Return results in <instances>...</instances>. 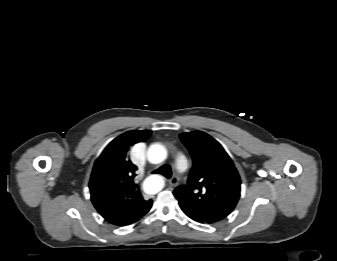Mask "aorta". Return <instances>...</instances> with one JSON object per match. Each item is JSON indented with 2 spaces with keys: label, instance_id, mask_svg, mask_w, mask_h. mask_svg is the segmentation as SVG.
I'll return each instance as SVG.
<instances>
[{
  "label": "aorta",
  "instance_id": "aorta-1",
  "mask_svg": "<svg viewBox=\"0 0 337 261\" xmlns=\"http://www.w3.org/2000/svg\"><path fill=\"white\" fill-rule=\"evenodd\" d=\"M147 158L150 163H161L167 158V150L163 145L154 143L147 150ZM143 188L148 194H156L163 188V181L159 176H150L144 181Z\"/></svg>",
  "mask_w": 337,
  "mask_h": 261
}]
</instances>
